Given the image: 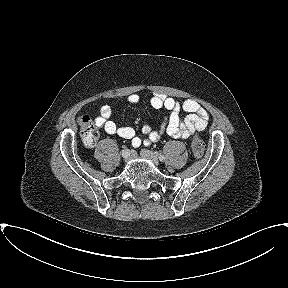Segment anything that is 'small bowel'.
<instances>
[{"label":"small bowel","mask_w":288,"mask_h":288,"mask_svg":"<svg viewBox=\"0 0 288 288\" xmlns=\"http://www.w3.org/2000/svg\"><path fill=\"white\" fill-rule=\"evenodd\" d=\"M138 94H131L128 97L130 103H138ZM150 105L157 110L165 109L169 114L165 117L157 130L146 125L142 128V136H137L134 129L128 126H118L112 119V109L110 106H103L95 119L96 126L102 128L110 135H117L124 139L131 140L133 147L137 148L141 144H149L161 139L167 134L175 139H187L196 131L203 132L208 125L209 115L207 111L195 100L188 99L183 103L175 99L156 94L150 99ZM188 113L185 118L180 117V111Z\"/></svg>","instance_id":"obj_1"}]
</instances>
